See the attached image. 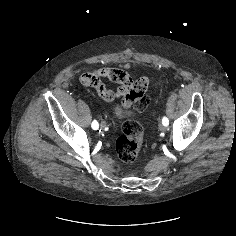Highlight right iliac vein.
<instances>
[{
	"mask_svg": "<svg viewBox=\"0 0 236 236\" xmlns=\"http://www.w3.org/2000/svg\"><path fill=\"white\" fill-rule=\"evenodd\" d=\"M100 127H101L102 129H104V128L106 127V123H105L104 121H102V122L100 123Z\"/></svg>",
	"mask_w": 236,
	"mask_h": 236,
	"instance_id": "63e3f726",
	"label": "right iliac vein"
}]
</instances>
